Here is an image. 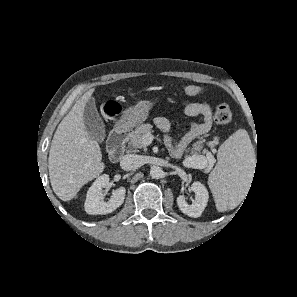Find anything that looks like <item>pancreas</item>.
I'll use <instances>...</instances> for the list:
<instances>
[{
  "instance_id": "1",
  "label": "pancreas",
  "mask_w": 297,
  "mask_h": 297,
  "mask_svg": "<svg viewBox=\"0 0 297 297\" xmlns=\"http://www.w3.org/2000/svg\"><path fill=\"white\" fill-rule=\"evenodd\" d=\"M152 128L153 125L147 123V124H142L140 126H138L135 131H133L130 136H129V145L135 149L137 148H143L146 150L147 145L144 144L143 141V136L147 133H151L152 132ZM211 146H213V142L211 144ZM200 147H195L192 151H191V155L192 156H198V152L200 151Z\"/></svg>"
}]
</instances>
